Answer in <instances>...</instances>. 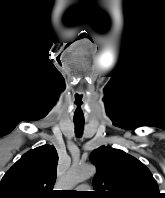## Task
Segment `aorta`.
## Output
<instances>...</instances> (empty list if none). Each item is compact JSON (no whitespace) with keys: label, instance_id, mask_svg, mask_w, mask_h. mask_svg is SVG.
Instances as JSON below:
<instances>
[{"label":"aorta","instance_id":"aorta-1","mask_svg":"<svg viewBox=\"0 0 165 198\" xmlns=\"http://www.w3.org/2000/svg\"><path fill=\"white\" fill-rule=\"evenodd\" d=\"M96 173L94 166L89 164L74 163L62 180L64 188H73L81 182L89 179Z\"/></svg>","mask_w":165,"mask_h":198}]
</instances>
